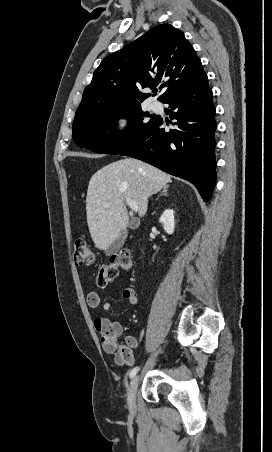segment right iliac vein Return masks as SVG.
Listing matches in <instances>:
<instances>
[{
	"label": "right iliac vein",
	"mask_w": 272,
	"mask_h": 452,
	"mask_svg": "<svg viewBox=\"0 0 272 452\" xmlns=\"http://www.w3.org/2000/svg\"><path fill=\"white\" fill-rule=\"evenodd\" d=\"M140 377L136 375L132 378L130 382V386L128 389L127 402L131 412H135L136 410V392L139 385Z\"/></svg>",
	"instance_id": "63e3f726"
}]
</instances>
